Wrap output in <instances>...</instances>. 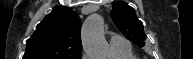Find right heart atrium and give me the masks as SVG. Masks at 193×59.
Instances as JSON below:
<instances>
[{
  "mask_svg": "<svg viewBox=\"0 0 193 59\" xmlns=\"http://www.w3.org/2000/svg\"><path fill=\"white\" fill-rule=\"evenodd\" d=\"M82 59H88L87 55H83Z\"/></svg>",
  "mask_w": 193,
  "mask_h": 59,
  "instance_id": "right-heart-atrium-1",
  "label": "right heart atrium"
}]
</instances>
